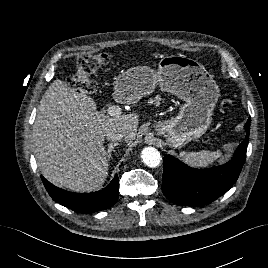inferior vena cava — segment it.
<instances>
[{
  "instance_id": "602c4592",
  "label": "inferior vena cava",
  "mask_w": 268,
  "mask_h": 268,
  "mask_svg": "<svg viewBox=\"0 0 268 268\" xmlns=\"http://www.w3.org/2000/svg\"><path fill=\"white\" fill-rule=\"evenodd\" d=\"M105 138L109 141H119L125 137V132L119 128H108L104 134Z\"/></svg>"
}]
</instances>
